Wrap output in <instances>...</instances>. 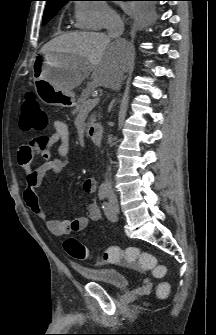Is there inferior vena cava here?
<instances>
[{"instance_id":"1","label":"inferior vena cava","mask_w":216,"mask_h":335,"mask_svg":"<svg viewBox=\"0 0 216 335\" xmlns=\"http://www.w3.org/2000/svg\"><path fill=\"white\" fill-rule=\"evenodd\" d=\"M106 28L108 36L111 38H119L124 32V24L121 18L116 14L110 16ZM106 185L109 190H112V183L108 177L106 178Z\"/></svg>"}]
</instances>
